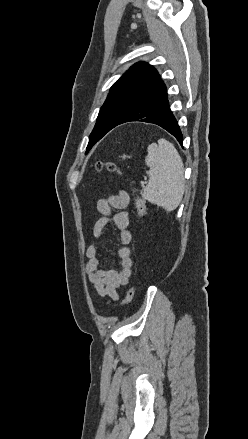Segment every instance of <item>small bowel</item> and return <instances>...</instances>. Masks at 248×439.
<instances>
[{
  "label": "small bowel",
  "instance_id": "small-bowel-1",
  "mask_svg": "<svg viewBox=\"0 0 248 439\" xmlns=\"http://www.w3.org/2000/svg\"><path fill=\"white\" fill-rule=\"evenodd\" d=\"M130 201V197L125 191H120L116 195L102 198L97 201L96 207L102 217L99 218L93 227V236L100 240L105 229L113 224L119 233V240L122 244L118 251L120 259L119 270H103L100 268L98 257V247L91 245L86 250L88 261L85 265L88 282L93 285L98 296L107 298V304L118 300V290L129 282L133 265L131 250L128 244L132 240L129 231V216L125 211Z\"/></svg>",
  "mask_w": 248,
  "mask_h": 439
}]
</instances>
